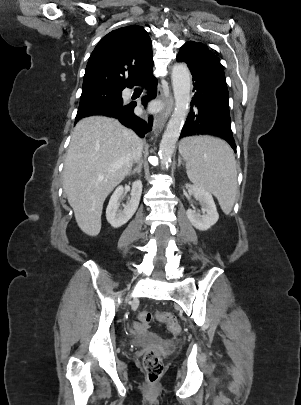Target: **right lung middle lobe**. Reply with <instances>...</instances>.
Wrapping results in <instances>:
<instances>
[{
	"mask_svg": "<svg viewBox=\"0 0 301 405\" xmlns=\"http://www.w3.org/2000/svg\"><path fill=\"white\" fill-rule=\"evenodd\" d=\"M121 91L107 87L83 89L78 112H86L101 106L123 104Z\"/></svg>",
	"mask_w": 301,
	"mask_h": 405,
	"instance_id": "1",
	"label": "right lung middle lobe"
}]
</instances>
